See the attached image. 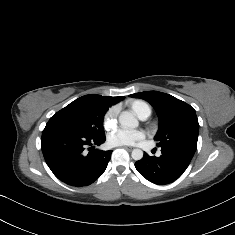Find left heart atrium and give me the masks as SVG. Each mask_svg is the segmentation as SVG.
Masks as SVG:
<instances>
[{"label": "left heart atrium", "instance_id": "1", "mask_svg": "<svg viewBox=\"0 0 235 235\" xmlns=\"http://www.w3.org/2000/svg\"><path fill=\"white\" fill-rule=\"evenodd\" d=\"M145 133L142 130H124L117 129L107 136V142L110 146H128L142 140Z\"/></svg>", "mask_w": 235, "mask_h": 235}]
</instances>
